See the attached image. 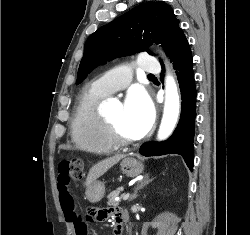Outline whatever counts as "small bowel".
<instances>
[{
  "label": "small bowel",
  "instance_id": "1",
  "mask_svg": "<svg viewBox=\"0 0 250 235\" xmlns=\"http://www.w3.org/2000/svg\"><path fill=\"white\" fill-rule=\"evenodd\" d=\"M58 194L65 220L67 222H71L75 227V222H77L80 219H78V217L76 216L74 209V202L72 195L70 193V189L61 188L58 184ZM120 213H121L120 210L117 208L101 209L97 211V217H94L93 215L94 221L91 222H96V221L101 222L109 219L117 221V217Z\"/></svg>",
  "mask_w": 250,
  "mask_h": 235
}]
</instances>
